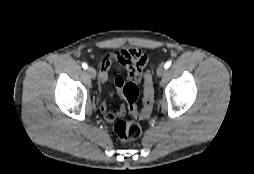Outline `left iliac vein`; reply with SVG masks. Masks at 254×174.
Masks as SVG:
<instances>
[{"label":"left iliac vein","instance_id":"left-iliac-vein-1","mask_svg":"<svg viewBox=\"0 0 254 174\" xmlns=\"http://www.w3.org/2000/svg\"><path fill=\"white\" fill-rule=\"evenodd\" d=\"M165 72H166V69L163 65H160L156 71L157 76H159V77H162L165 74Z\"/></svg>","mask_w":254,"mask_h":174}]
</instances>
